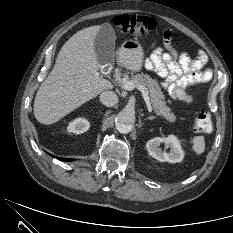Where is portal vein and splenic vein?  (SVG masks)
Instances as JSON below:
<instances>
[{
  "label": "portal vein and splenic vein",
  "instance_id": "18ae733b",
  "mask_svg": "<svg viewBox=\"0 0 233 233\" xmlns=\"http://www.w3.org/2000/svg\"><path fill=\"white\" fill-rule=\"evenodd\" d=\"M125 90H128V91H132L134 90V88H137L138 90L141 91L142 93V96L145 100V103L147 105V109L149 112H152L153 109H152V106H151V102H150V99H149V96H148V91H147V88L144 87V86H138V87H135L134 84L129 81V80H126V79H123V86H122Z\"/></svg>",
  "mask_w": 233,
  "mask_h": 233
}]
</instances>
